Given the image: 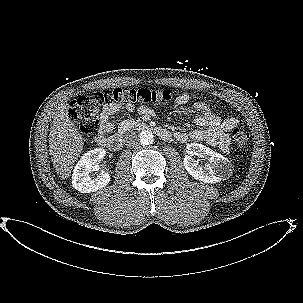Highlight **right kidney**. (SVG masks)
Wrapping results in <instances>:
<instances>
[{"mask_svg":"<svg viewBox=\"0 0 303 303\" xmlns=\"http://www.w3.org/2000/svg\"><path fill=\"white\" fill-rule=\"evenodd\" d=\"M106 155L102 148H96L85 153L76 164L72 174V186L82 192L91 193L100 190L110 182V174L101 171L96 177H91L89 173L98 168V161Z\"/></svg>","mask_w":303,"mask_h":303,"instance_id":"1","label":"right kidney"}]
</instances>
